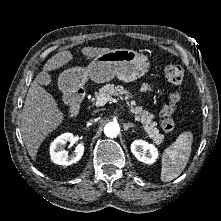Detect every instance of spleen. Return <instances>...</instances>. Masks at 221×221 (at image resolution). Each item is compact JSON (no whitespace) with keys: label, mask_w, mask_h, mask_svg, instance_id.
I'll return each instance as SVG.
<instances>
[{"label":"spleen","mask_w":221,"mask_h":221,"mask_svg":"<svg viewBox=\"0 0 221 221\" xmlns=\"http://www.w3.org/2000/svg\"><path fill=\"white\" fill-rule=\"evenodd\" d=\"M193 135L191 132L181 133L176 141L164 150L160 178L169 182L177 178L189 161Z\"/></svg>","instance_id":"1"}]
</instances>
